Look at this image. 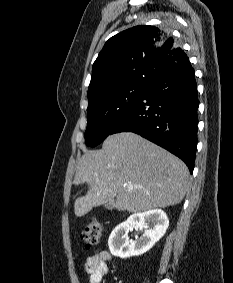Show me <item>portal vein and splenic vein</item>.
Returning a JSON list of instances; mask_svg holds the SVG:
<instances>
[{"instance_id":"1","label":"portal vein and splenic vein","mask_w":233,"mask_h":283,"mask_svg":"<svg viewBox=\"0 0 233 283\" xmlns=\"http://www.w3.org/2000/svg\"><path fill=\"white\" fill-rule=\"evenodd\" d=\"M125 186H126L128 189L141 188L140 185H133V184H126Z\"/></svg>"}]
</instances>
